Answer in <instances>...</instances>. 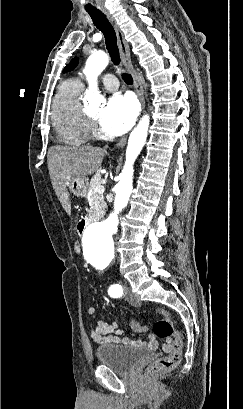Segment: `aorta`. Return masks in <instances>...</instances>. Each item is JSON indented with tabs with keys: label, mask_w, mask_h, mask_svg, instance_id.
Returning a JSON list of instances; mask_svg holds the SVG:
<instances>
[{
	"label": "aorta",
	"mask_w": 243,
	"mask_h": 409,
	"mask_svg": "<svg viewBox=\"0 0 243 409\" xmlns=\"http://www.w3.org/2000/svg\"><path fill=\"white\" fill-rule=\"evenodd\" d=\"M108 62V56L102 51L94 52L86 61L84 74L89 84L86 99L90 105L98 106L103 102L97 87V77L106 68ZM148 127L149 116L145 115L129 136L125 165L115 187L114 210L104 221L91 223L85 228L82 243L86 256L95 255L99 258H110L114 255L113 235L117 231L118 215L127 206L132 193L133 165L145 144Z\"/></svg>",
	"instance_id": "obj_1"
}]
</instances>
